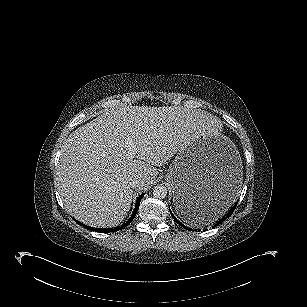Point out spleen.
<instances>
[{
    "label": "spleen",
    "mask_w": 307,
    "mask_h": 307,
    "mask_svg": "<svg viewBox=\"0 0 307 307\" xmlns=\"http://www.w3.org/2000/svg\"><path fill=\"white\" fill-rule=\"evenodd\" d=\"M229 208V207H228ZM227 208H212L206 211H201L197 215H191V218L189 219H183L186 223L190 224L191 226H199L204 223H210L215 220H217L219 217H221L225 212Z\"/></svg>",
    "instance_id": "1"
}]
</instances>
